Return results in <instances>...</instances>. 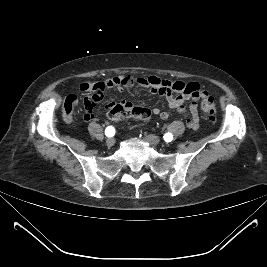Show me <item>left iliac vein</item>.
<instances>
[{
    "label": "left iliac vein",
    "mask_w": 267,
    "mask_h": 267,
    "mask_svg": "<svg viewBox=\"0 0 267 267\" xmlns=\"http://www.w3.org/2000/svg\"><path fill=\"white\" fill-rule=\"evenodd\" d=\"M145 138L148 142H150L153 145H158L160 143V139L155 135L148 134L145 136Z\"/></svg>",
    "instance_id": "1"
}]
</instances>
